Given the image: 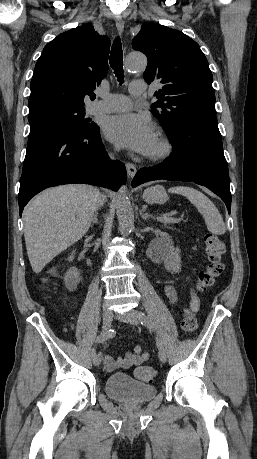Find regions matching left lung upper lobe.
Segmentation results:
<instances>
[{
	"label": "left lung upper lobe",
	"mask_w": 257,
	"mask_h": 459,
	"mask_svg": "<svg viewBox=\"0 0 257 459\" xmlns=\"http://www.w3.org/2000/svg\"><path fill=\"white\" fill-rule=\"evenodd\" d=\"M133 48L148 58L144 79L163 87L151 112L169 133L187 118L215 115L213 76L199 45L181 31L144 23L133 39Z\"/></svg>",
	"instance_id": "left-lung-upper-lobe-1"
}]
</instances>
